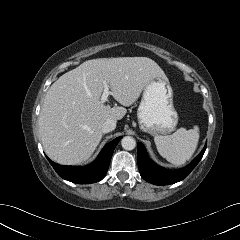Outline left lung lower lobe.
<instances>
[{
    "instance_id": "1",
    "label": "left lung lower lobe",
    "mask_w": 240,
    "mask_h": 240,
    "mask_svg": "<svg viewBox=\"0 0 240 240\" xmlns=\"http://www.w3.org/2000/svg\"><path fill=\"white\" fill-rule=\"evenodd\" d=\"M206 150L204 146L201 153L186 167L179 170H167L149 159L145 147L142 143H138V168L141 177L155 185H169L183 180L194 169L198 162L203 157Z\"/></svg>"
}]
</instances>
